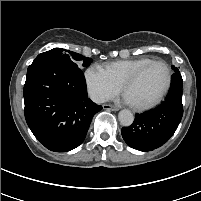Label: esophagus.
Masks as SVG:
<instances>
[{
  "instance_id": "34e87169",
  "label": "esophagus",
  "mask_w": 201,
  "mask_h": 201,
  "mask_svg": "<svg viewBox=\"0 0 201 201\" xmlns=\"http://www.w3.org/2000/svg\"><path fill=\"white\" fill-rule=\"evenodd\" d=\"M104 110H110V111H118L119 108L110 104H104L103 105Z\"/></svg>"
}]
</instances>
